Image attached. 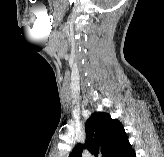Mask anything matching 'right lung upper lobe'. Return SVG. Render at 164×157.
Listing matches in <instances>:
<instances>
[{
    "instance_id": "right-lung-upper-lobe-1",
    "label": "right lung upper lobe",
    "mask_w": 164,
    "mask_h": 157,
    "mask_svg": "<svg viewBox=\"0 0 164 157\" xmlns=\"http://www.w3.org/2000/svg\"><path fill=\"white\" fill-rule=\"evenodd\" d=\"M85 144H77L68 157H82L83 149L101 157H116L128 140L123 125L108 113H93L85 123Z\"/></svg>"
}]
</instances>
